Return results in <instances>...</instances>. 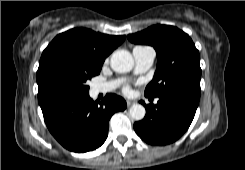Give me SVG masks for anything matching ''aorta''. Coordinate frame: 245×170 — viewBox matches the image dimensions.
<instances>
[{"instance_id": "1", "label": "aorta", "mask_w": 245, "mask_h": 170, "mask_svg": "<svg viewBox=\"0 0 245 170\" xmlns=\"http://www.w3.org/2000/svg\"><path fill=\"white\" fill-rule=\"evenodd\" d=\"M110 65L114 71L126 73L132 70L134 60L129 51L123 49L116 50L111 56ZM145 114L146 110L141 104H134L129 110L130 117L136 121L142 120Z\"/></svg>"}]
</instances>
